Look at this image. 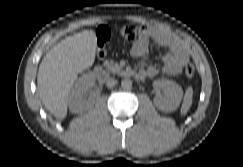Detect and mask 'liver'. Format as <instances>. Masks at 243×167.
Instances as JSON below:
<instances>
[{
  "label": "liver",
  "instance_id": "1",
  "mask_svg": "<svg viewBox=\"0 0 243 167\" xmlns=\"http://www.w3.org/2000/svg\"><path fill=\"white\" fill-rule=\"evenodd\" d=\"M96 47L94 31L84 30L55 45L41 61L38 92L46 109L58 119L66 117L70 90L78 74L93 65Z\"/></svg>",
  "mask_w": 243,
  "mask_h": 167
}]
</instances>
